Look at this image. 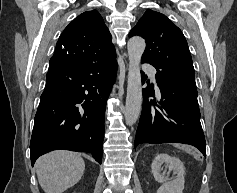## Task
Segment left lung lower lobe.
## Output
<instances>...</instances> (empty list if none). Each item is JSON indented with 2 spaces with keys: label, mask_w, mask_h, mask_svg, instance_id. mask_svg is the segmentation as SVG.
<instances>
[{
  "label": "left lung lower lobe",
  "mask_w": 237,
  "mask_h": 193,
  "mask_svg": "<svg viewBox=\"0 0 237 193\" xmlns=\"http://www.w3.org/2000/svg\"><path fill=\"white\" fill-rule=\"evenodd\" d=\"M141 73L144 83L147 76ZM156 82L161 92L160 101L148 100V97H154L153 85L143 89V108L135 147L141 143L175 142L193 145L206 156L196 84L159 73L156 74Z\"/></svg>",
  "instance_id": "obj_1"
}]
</instances>
